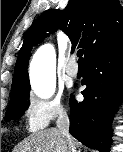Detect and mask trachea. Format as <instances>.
<instances>
[{"instance_id":"1","label":"trachea","mask_w":123,"mask_h":152,"mask_svg":"<svg viewBox=\"0 0 123 152\" xmlns=\"http://www.w3.org/2000/svg\"><path fill=\"white\" fill-rule=\"evenodd\" d=\"M77 56L79 57L78 63L79 64H84V59L82 57L83 56V50L82 49L78 50Z\"/></svg>"}]
</instances>
